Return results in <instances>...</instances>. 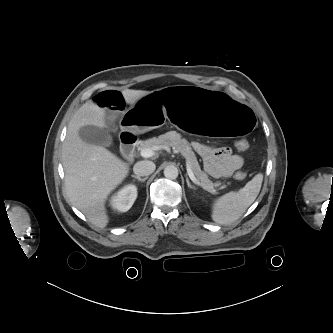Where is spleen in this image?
<instances>
[{
	"mask_svg": "<svg viewBox=\"0 0 333 333\" xmlns=\"http://www.w3.org/2000/svg\"><path fill=\"white\" fill-rule=\"evenodd\" d=\"M263 181V174H256L238 192H229L212 202L211 218L218 224H231L238 220L257 198Z\"/></svg>",
	"mask_w": 333,
	"mask_h": 333,
	"instance_id": "spleen-1",
	"label": "spleen"
}]
</instances>
